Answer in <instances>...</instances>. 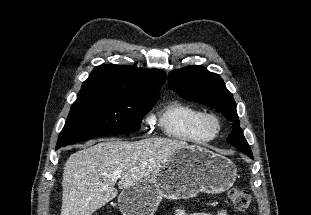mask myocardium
Here are the masks:
<instances>
[{
  "label": "myocardium",
  "mask_w": 311,
  "mask_h": 215,
  "mask_svg": "<svg viewBox=\"0 0 311 215\" xmlns=\"http://www.w3.org/2000/svg\"><path fill=\"white\" fill-rule=\"evenodd\" d=\"M203 129L212 136H215L221 128V120L214 113H205L202 119Z\"/></svg>",
  "instance_id": "myocardium-1"
}]
</instances>
